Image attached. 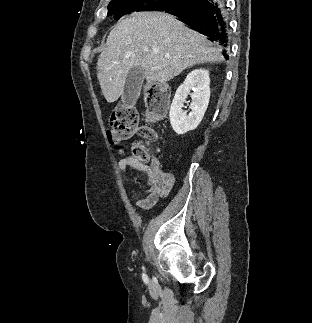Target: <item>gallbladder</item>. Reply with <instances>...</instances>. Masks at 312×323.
Masks as SVG:
<instances>
[{"mask_svg": "<svg viewBox=\"0 0 312 323\" xmlns=\"http://www.w3.org/2000/svg\"><path fill=\"white\" fill-rule=\"evenodd\" d=\"M144 78L145 72L142 70L141 66L130 68L122 94L124 106H133L134 102L138 100Z\"/></svg>", "mask_w": 312, "mask_h": 323, "instance_id": "1", "label": "gallbladder"}]
</instances>
